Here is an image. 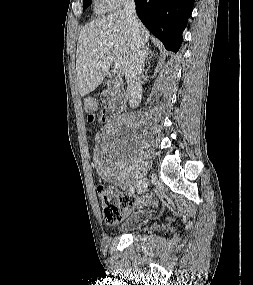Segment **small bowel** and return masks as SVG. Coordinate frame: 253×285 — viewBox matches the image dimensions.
I'll return each mask as SVG.
<instances>
[{
    "label": "small bowel",
    "instance_id": "small-bowel-1",
    "mask_svg": "<svg viewBox=\"0 0 253 285\" xmlns=\"http://www.w3.org/2000/svg\"><path fill=\"white\" fill-rule=\"evenodd\" d=\"M103 114H106V109H99V114H98V118H97L98 122H105L106 121V118L103 117ZM150 200H151V197L149 195L143 196L137 200L136 205L143 206V205L149 203Z\"/></svg>",
    "mask_w": 253,
    "mask_h": 285
}]
</instances>
